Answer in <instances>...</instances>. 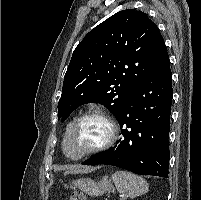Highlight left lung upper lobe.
<instances>
[{
    "label": "left lung upper lobe",
    "instance_id": "5c2ea615",
    "mask_svg": "<svg viewBox=\"0 0 201 200\" xmlns=\"http://www.w3.org/2000/svg\"><path fill=\"white\" fill-rule=\"evenodd\" d=\"M167 52L157 25L141 11L122 10L90 31L72 54L58 102L59 118L100 103L117 118L131 93Z\"/></svg>",
    "mask_w": 201,
    "mask_h": 200
}]
</instances>
